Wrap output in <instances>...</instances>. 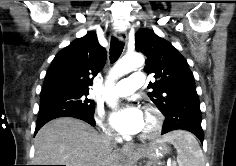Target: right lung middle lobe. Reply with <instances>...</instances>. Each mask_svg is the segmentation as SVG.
I'll list each match as a JSON object with an SVG mask.
<instances>
[{"mask_svg":"<svg viewBox=\"0 0 236 166\" xmlns=\"http://www.w3.org/2000/svg\"><path fill=\"white\" fill-rule=\"evenodd\" d=\"M88 94V91L74 90L66 87L42 90L39 116L69 109L83 110L94 115V101L87 97Z\"/></svg>","mask_w":236,"mask_h":166,"instance_id":"obj_1","label":"right lung middle lobe"}]
</instances>
